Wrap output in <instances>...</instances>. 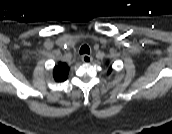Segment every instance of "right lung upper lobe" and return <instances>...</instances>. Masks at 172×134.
<instances>
[{"mask_svg":"<svg viewBox=\"0 0 172 134\" xmlns=\"http://www.w3.org/2000/svg\"><path fill=\"white\" fill-rule=\"evenodd\" d=\"M69 72V67L66 63L59 62L58 65L54 67L53 76L57 82H62L67 79Z\"/></svg>","mask_w":172,"mask_h":134,"instance_id":"right-lung-upper-lobe-1","label":"right lung upper lobe"}]
</instances>
